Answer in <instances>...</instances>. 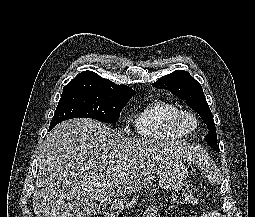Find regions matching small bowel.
I'll use <instances>...</instances> for the list:
<instances>
[{
  "mask_svg": "<svg viewBox=\"0 0 255 217\" xmlns=\"http://www.w3.org/2000/svg\"><path fill=\"white\" fill-rule=\"evenodd\" d=\"M144 217H159L158 208L154 205L149 206L145 211ZM201 217H222V215L216 211H207Z\"/></svg>",
  "mask_w": 255,
  "mask_h": 217,
  "instance_id": "1",
  "label": "small bowel"
}]
</instances>
